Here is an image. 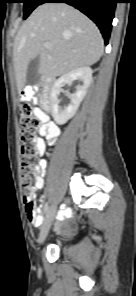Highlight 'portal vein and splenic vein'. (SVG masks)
<instances>
[{"instance_id": "1", "label": "portal vein and splenic vein", "mask_w": 136, "mask_h": 296, "mask_svg": "<svg viewBox=\"0 0 136 296\" xmlns=\"http://www.w3.org/2000/svg\"><path fill=\"white\" fill-rule=\"evenodd\" d=\"M44 47L47 48V49H49V48H51L52 46H51V44H50L49 42H46V43H44Z\"/></svg>"}]
</instances>
